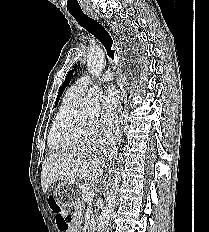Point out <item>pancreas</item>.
Instances as JSON below:
<instances>
[{"label": "pancreas", "instance_id": "obj_1", "mask_svg": "<svg viewBox=\"0 0 209 232\" xmlns=\"http://www.w3.org/2000/svg\"><path fill=\"white\" fill-rule=\"evenodd\" d=\"M88 191H89V187L88 186H83L82 187V191H81L82 199H83V195H85Z\"/></svg>", "mask_w": 209, "mask_h": 232}]
</instances>
